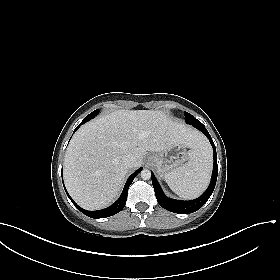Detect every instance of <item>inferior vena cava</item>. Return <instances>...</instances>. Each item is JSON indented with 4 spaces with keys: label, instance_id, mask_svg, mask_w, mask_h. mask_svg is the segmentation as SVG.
<instances>
[{
    "label": "inferior vena cava",
    "instance_id": "obj_1",
    "mask_svg": "<svg viewBox=\"0 0 280 280\" xmlns=\"http://www.w3.org/2000/svg\"><path fill=\"white\" fill-rule=\"evenodd\" d=\"M135 161V157L131 154H128L123 157V163L126 167H131Z\"/></svg>",
    "mask_w": 280,
    "mask_h": 280
}]
</instances>
